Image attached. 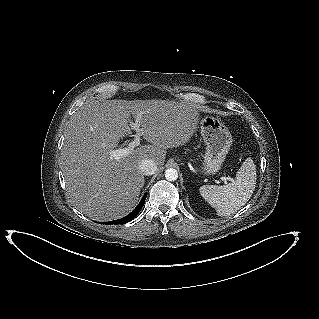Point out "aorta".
<instances>
[{"mask_svg":"<svg viewBox=\"0 0 319 319\" xmlns=\"http://www.w3.org/2000/svg\"><path fill=\"white\" fill-rule=\"evenodd\" d=\"M165 178L168 181H176L178 179V172L176 169L168 168L165 171Z\"/></svg>","mask_w":319,"mask_h":319,"instance_id":"aorta-1","label":"aorta"}]
</instances>
